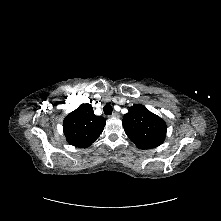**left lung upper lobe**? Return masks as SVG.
<instances>
[{"instance_id":"obj_1","label":"left lung upper lobe","mask_w":221,"mask_h":221,"mask_svg":"<svg viewBox=\"0 0 221 221\" xmlns=\"http://www.w3.org/2000/svg\"><path fill=\"white\" fill-rule=\"evenodd\" d=\"M122 124L127 136L140 149L158 147L166 137V123L141 104L130 107Z\"/></svg>"}]
</instances>
